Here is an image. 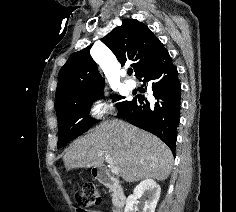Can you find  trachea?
I'll use <instances>...</instances> for the list:
<instances>
[{
  "instance_id": "3493384b",
  "label": "trachea",
  "mask_w": 236,
  "mask_h": 212,
  "mask_svg": "<svg viewBox=\"0 0 236 212\" xmlns=\"http://www.w3.org/2000/svg\"><path fill=\"white\" fill-rule=\"evenodd\" d=\"M132 73H133V70H132V69H129V70H128V75H132Z\"/></svg>"
}]
</instances>
